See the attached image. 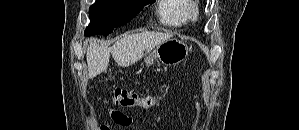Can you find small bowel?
I'll return each instance as SVG.
<instances>
[{
  "mask_svg": "<svg viewBox=\"0 0 299 130\" xmlns=\"http://www.w3.org/2000/svg\"><path fill=\"white\" fill-rule=\"evenodd\" d=\"M109 116L115 123H117L121 126H128L132 122V119L130 116H128L120 111L110 109ZM100 129L101 130H110V128L107 125H101Z\"/></svg>",
  "mask_w": 299,
  "mask_h": 130,
  "instance_id": "c3829d8e",
  "label": "small bowel"
}]
</instances>
